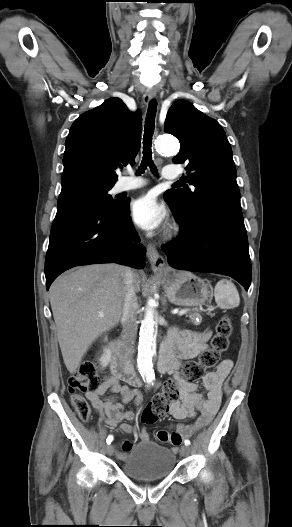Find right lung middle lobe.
<instances>
[{"mask_svg": "<svg viewBox=\"0 0 292 527\" xmlns=\"http://www.w3.org/2000/svg\"><path fill=\"white\" fill-rule=\"evenodd\" d=\"M113 184L102 183L98 180L77 177L62 182V190L58 202L64 199H81L90 201L105 209H117L123 201L113 199L108 191Z\"/></svg>", "mask_w": 292, "mask_h": 527, "instance_id": "right-lung-middle-lobe-1", "label": "right lung middle lobe"}]
</instances>
